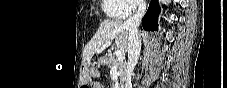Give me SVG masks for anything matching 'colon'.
Segmentation results:
<instances>
[{
  "label": "colon",
  "mask_w": 227,
  "mask_h": 88,
  "mask_svg": "<svg viewBox=\"0 0 227 88\" xmlns=\"http://www.w3.org/2000/svg\"><path fill=\"white\" fill-rule=\"evenodd\" d=\"M82 87H84V88H88V86H87V85H83Z\"/></svg>",
  "instance_id": "1"
}]
</instances>
